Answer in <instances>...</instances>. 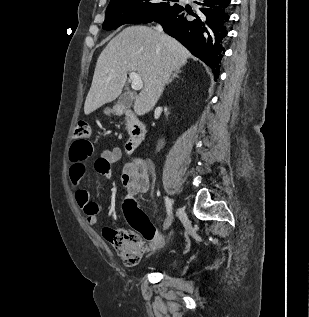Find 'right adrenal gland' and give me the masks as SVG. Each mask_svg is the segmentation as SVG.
Returning a JSON list of instances; mask_svg holds the SVG:
<instances>
[{"label":"right adrenal gland","instance_id":"right-adrenal-gland-1","mask_svg":"<svg viewBox=\"0 0 309 317\" xmlns=\"http://www.w3.org/2000/svg\"><path fill=\"white\" fill-rule=\"evenodd\" d=\"M179 73H181L180 69L175 70L171 77L168 79V81L166 82V84L168 85L174 78H179Z\"/></svg>","mask_w":309,"mask_h":317}]
</instances>
